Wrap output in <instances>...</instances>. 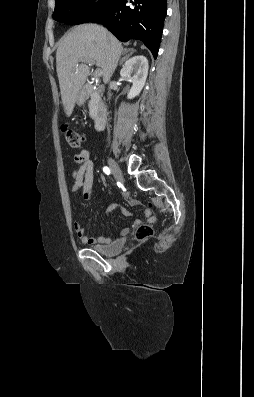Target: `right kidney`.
<instances>
[{
  "label": "right kidney",
  "mask_w": 254,
  "mask_h": 397,
  "mask_svg": "<svg viewBox=\"0 0 254 397\" xmlns=\"http://www.w3.org/2000/svg\"><path fill=\"white\" fill-rule=\"evenodd\" d=\"M148 68V60L143 55L134 56L125 62L120 75L132 83L128 99L135 98L142 91L148 75Z\"/></svg>",
  "instance_id": "ca27d5eb"
}]
</instances>
